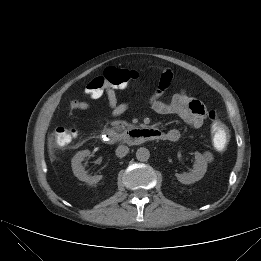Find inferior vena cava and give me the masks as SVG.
Returning <instances> with one entry per match:
<instances>
[{
    "instance_id": "inferior-vena-cava-1",
    "label": "inferior vena cava",
    "mask_w": 261,
    "mask_h": 261,
    "mask_svg": "<svg viewBox=\"0 0 261 261\" xmlns=\"http://www.w3.org/2000/svg\"><path fill=\"white\" fill-rule=\"evenodd\" d=\"M129 152V148L125 145H120L116 149V155L120 158L126 156Z\"/></svg>"
}]
</instances>
